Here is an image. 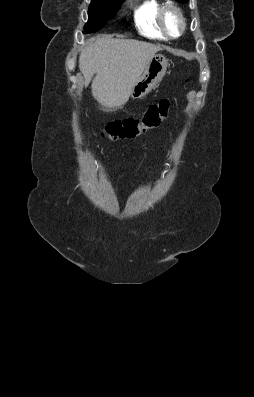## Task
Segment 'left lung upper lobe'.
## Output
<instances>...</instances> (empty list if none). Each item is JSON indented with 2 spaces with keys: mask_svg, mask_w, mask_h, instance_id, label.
I'll return each mask as SVG.
<instances>
[{
  "mask_svg": "<svg viewBox=\"0 0 254 397\" xmlns=\"http://www.w3.org/2000/svg\"><path fill=\"white\" fill-rule=\"evenodd\" d=\"M176 1L181 2V3H187L189 0H176Z\"/></svg>",
  "mask_w": 254,
  "mask_h": 397,
  "instance_id": "left-lung-upper-lobe-1",
  "label": "left lung upper lobe"
}]
</instances>
